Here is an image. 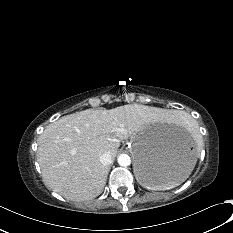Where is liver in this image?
Listing matches in <instances>:
<instances>
[{"instance_id":"liver-1","label":"liver","mask_w":233,"mask_h":233,"mask_svg":"<svg viewBox=\"0 0 233 233\" xmlns=\"http://www.w3.org/2000/svg\"><path fill=\"white\" fill-rule=\"evenodd\" d=\"M180 112L140 104L113 109H87L48 125L38 139L37 159L44 182L54 192L73 201L98 196L108 168L100 156L115 157L120 141L147 125L170 123Z\"/></svg>"}]
</instances>
